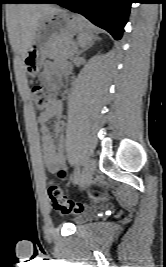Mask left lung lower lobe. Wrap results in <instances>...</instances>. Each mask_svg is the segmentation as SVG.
<instances>
[{
	"label": "left lung lower lobe",
	"mask_w": 166,
	"mask_h": 267,
	"mask_svg": "<svg viewBox=\"0 0 166 267\" xmlns=\"http://www.w3.org/2000/svg\"><path fill=\"white\" fill-rule=\"evenodd\" d=\"M34 3H56L82 14L95 25L119 40L127 22L132 0H37Z\"/></svg>",
	"instance_id": "left-lung-lower-lobe-1"
}]
</instances>
